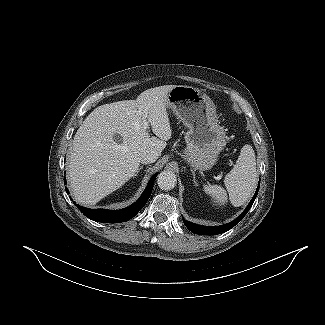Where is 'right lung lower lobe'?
I'll list each match as a JSON object with an SVG mask.
<instances>
[{"mask_svg":"<svg viewBox=\"0 0 325 325\" xmlns=\"http://www.w3.org/2000/svg\"><path fill=\"white\" fill-rule=\"evenodd\" d=\"M157 173L154 174L149 181V184L141 195V197L131 206L120 209V210H106V209H89L77 204L78 209L89 219L94 220L96 222H103V223H120L124 221H128L131 218L135 217L139 210L146 204L148 201L152 189L154 180L156 179ZM64 183L66 184V178L64 177ZM67 193H69L67 187H65ZM74 203V202H73ZM75 204V203H74ZM76 205V204H75Z\"/></svg>","mask_w":325,"mask_h":325,"instance_id":"obj_1","label":"right lung lower lobe"}]
</instances>
